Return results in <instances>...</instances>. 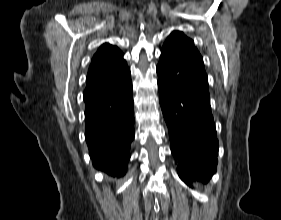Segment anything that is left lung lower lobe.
I'll list each match as a JSON object with an SVG mask.
<instances>
[{"label":"left lung lower lobe","mask_w":281,"mask_h":220,"mask_svg":"<svg viewBox=\"0 0 281 220\" xmlns=\"http://www.w3.org/2000/svg\"><path fill=\"white\" fill-rule=\"evenodd\" d=\"M157 74L178 175L187 184L208 180L216 172L219 145L203 60L184 52L161 53Z\"/></svg>","instance_id":"obj_1"}]
</instances>
